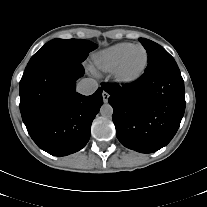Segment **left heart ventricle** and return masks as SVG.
Masks as SVG:
<instances>
[{"instance_id":"1","label":"left heart ventricle","mask_w":207,"mask_h":207,"mask_svg":"<svg viewBox=\"0 0 207 207\" xmlns=\"http://www.w3.org/2000/svg\"><path fill=\"white\" fill-rule=\"evenodd\" d=\"M145 61V53L141 48H136L134 49L130 55L128 56L124 68H123V72L126 75H131L134 74L136 72H138Z\"/></svg>"}]
</instances>
